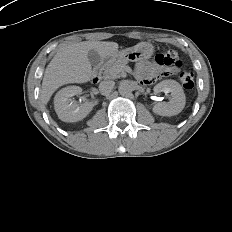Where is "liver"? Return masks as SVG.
Instances as JSON below:
<instances>
[{"instance_id":"6515ba94","label":"liver","mask_w":232,"mask_h":232,"mask_svg":"<svg viewBox=\"0 0 232 232\" xmlns=\"http://www.w3.org/2000/svg\"><path fill=\"white\" fill-rule=\"evenodd\" d=\"M118 48L116 42L108 41H83L60 48L45 69L40 92L43 105L49 102L59 87L69 83H86L91 79L92 66L87 57L90 50H96L101 58L108 59L118 53Z\"/></svg>"}]
</instances>
